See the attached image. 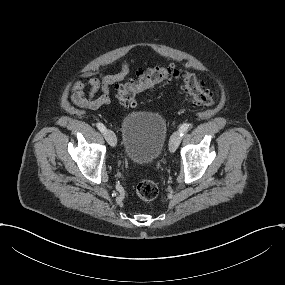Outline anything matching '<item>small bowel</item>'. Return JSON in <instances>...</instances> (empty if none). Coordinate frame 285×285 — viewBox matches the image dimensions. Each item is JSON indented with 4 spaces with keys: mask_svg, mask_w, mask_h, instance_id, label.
<instances>
[{
    "mask_svg": "<svg viewBox=\"0 0 285 285\" xmlns=\"http://www.w3.org/2000/svg\"><path fill=\"white\" fill-rule=\"evenodd\" d=\"M130 73L127 61L121 63L119 72L106 74L100 69L84 71L81 73L83 80L71 84V102L83 109L96 110L108 106L111 103V87L118 85L126 79ZM99 96H96L98 92Z\"/></svg>",
    "mask_w": 285,
    "mask_h": 285,
    "instance_id": "small-bowel-1",
    "label": "small bowel"
}]
</instances>
